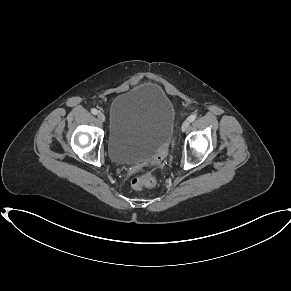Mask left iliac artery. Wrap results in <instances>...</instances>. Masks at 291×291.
<instances>
[{
    "label": "left iliac artery",
    "mask_w": 291,
    "mask_h": 291,
    "mask_svg": "<svg viewBox=\"0 0 291 291\" xmlns=\"http://www.w3.org/2000/svg\"><path fill=\"white\" fill-rule=\"evenodd\" d=\"M195 119H196V115H195V114L191 115V116L188 118V120H189L190 122H193Z\"/></svg>",
    "instance_id": "1"
}]
</instances>
